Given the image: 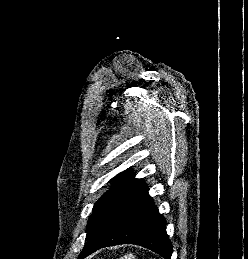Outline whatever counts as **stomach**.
Here are the masks:
<instances>
[{"instance_id": "0dacf381", "label": "stomach", "mask_w": 248, "mask_h": 259, "mask_svg": "<svg viewBox=\"0 0 248 259\" xmlns=\"http://www.w3.org/2000/svg\"><path fill=\"white\" fill-rule=\"evenodd\" d=\"M120 259H135V256L132 253L125 254Z\"/></svg>"}]
</instances>
